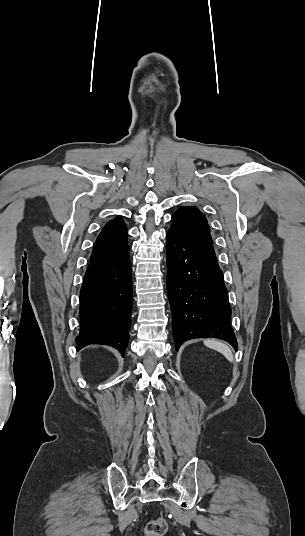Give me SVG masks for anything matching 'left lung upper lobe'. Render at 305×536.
<instances>
[{
    "label": "left lung upper lobe",
    "mask_w": 305,
    "mask_h": 536,
    "mask_svg": "<svg viewBox=\"0 0 305 536\" xmlns=\"http://www.w3.org/2000/svg\"><path fill=\"white\" fill-rule=\"evenodd\" d=\"M169 231H174L190 241L212 245L206 217L193 206L181 207L173 214Z\"/></svg>",
    "instance_id": "1"
}]
</instances>
